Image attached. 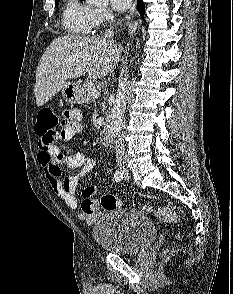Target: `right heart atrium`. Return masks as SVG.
<instances>
[{
    "mask_svg": "<svg viewBox=\"0 0 233 294\" xmlns=\"http://www.w3.org/2000/svg\"><path fill=\"white\" fill-rule=\"evenodd\" d=\"M93 15L95 27H101L114 18L113 12L108 8H94Z\"/></svg>",
    "mask_w": 233,
    "mask_h": 294,
    "instance_id": "d8ad5b80",
    "label": "right heart atrium"
}]
</instances>
